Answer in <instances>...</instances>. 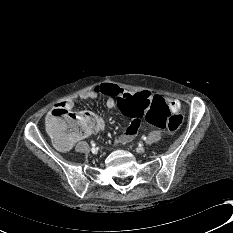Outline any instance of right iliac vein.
I'll use <instances>...</instances> for the list:
<instances>
[{"label": "right iliac vein", "mask_w": 233, "mask_h": 233, "mask_svg": "<svg viewBox=\"0 0 233 233\" xmlns=\"http://www.w3.org/2000/svg\"><path fill=\"white\" fill-rule=\"evenodd\" d=\"M91 151H92L93 154L97 153V149L96 148L95 149L92 148Z\"/></svg>", "instance_id": "1"}]
</instances>
